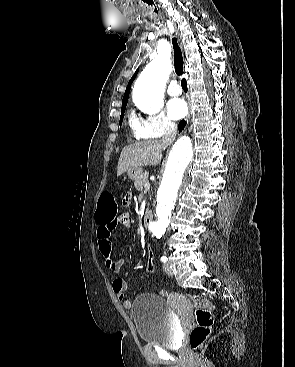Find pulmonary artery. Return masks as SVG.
Segmentation results:
<instances>
[{"label":"pulmonary artery","instance_id":"1","mask_svg":"<svg viewBox=\"0 0 295 367\" xmlns=\"http://www.w3.org/2000/svg\"><path fill=\"white\" fill-rule=\"evenodd\" d=\"M167 92L170 96L175 97V96H179L182 94V89L180 85L175 80H173L170 82Z\"/></svg>","mask_w":295,"mask_h":367}]
</instances>
